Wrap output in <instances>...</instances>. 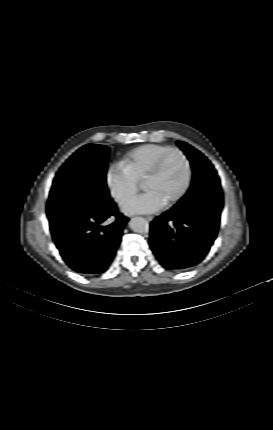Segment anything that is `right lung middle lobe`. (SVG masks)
Listing matches in <instances>:
<instances>
[{
	"label": "right lung middle lobe",
	"mask_w": 273,
	"mask_h": 430,
	"mask_svg": "<svg viewBox=\"0 0 273 430\" xmlns=\"http://www.w3.org/2000/svg\"><path fill=\"white\" fill-rule=\"evenodd\" d=\"M109 150L105 145H86L63 164L53 181L47 202L50 223L113 204L106 186Z\"/></svg>",
	"instance_id": "dd1d6c3e"
}]
</instances>
